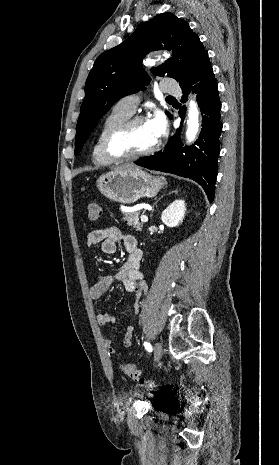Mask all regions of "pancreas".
<instances>
[{"label":"pancreas","mask_w":279,"mask_h":465,"mask_svg":"<svg viewBox=\"0 0 279 465\" xmlns=\"http://www.w3.org/2000/svg\"><path fill=\"white\" fill-rule=\"evenodd\" d=\"M123 220L127 222L128 226H133L137 231H141L143 224L139 221L140 212H122Z\"/></svg>","instance_id":"cf45deb5"}]
</instances>
